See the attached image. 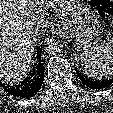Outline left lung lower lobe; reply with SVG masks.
<instances>
[{"label":"left lung lower lobe","instance_id":"1","mask_svg":"<svg viewBox=\"0 0 113 113\" xmlns=\"http://www.w3.org/2000/svg\"><path fill=\"white\" fill-rule=\"evenodd\" d=\"M76 74L84 85L91 89H103L109 87L113 83V79L93 80L76 70Z\"/></svg>","mask_w":113,"mask_h":113}]
</instances>
